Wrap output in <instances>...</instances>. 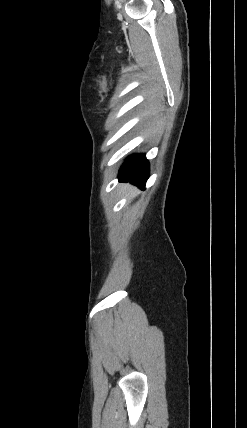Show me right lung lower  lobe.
Returning <instances> with one entry per match:
<instances>
[{
    "label": "right lung lower lobe",
    "mask_w": 247,
    "mask_h": 428,
    "mask_svg": "<svg viewBox=\"0 0 247 428\" xmlns=\"http://www.w3.org/2000/svg\"><path fill=\"white\" fill-rule=\"evenodd\" d=\"M149 176V165L145 154H137L129 157L119 171L120 181H130L144 189Z\"/></svg>",
    "instance_id": "1"
}]
</instances>
